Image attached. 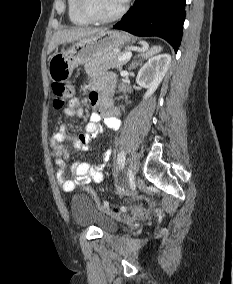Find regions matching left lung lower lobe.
Instances as JSON below:
<instances>
[{
  "label": "left lung lower lobe",
  "instance_id": "0a47b994",
  "mask_svg": "<svg viewBox=\"0 0 233 284\" xmlns=\"http://www.w3.org/2000/svg\"><path fill=\"white\" fill-rule=\"evenodd\" d=\"M186 0H135L133 7L113 27L137 36H158L175 52L181 43Z\"/></svg>",
  "mask_w": 233,
  "mask_h": 284
}]
</instances>
